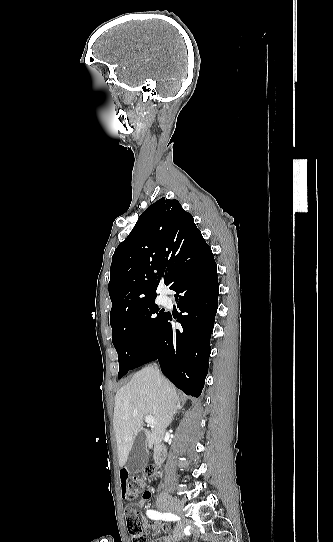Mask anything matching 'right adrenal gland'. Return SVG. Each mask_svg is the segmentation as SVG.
<instances>
[{"label": "right adrenal gland", "mask_w": 333, "mask_h": 542, "mask_svg": "<svg viewBox=\"0 0 333 542\" xmlns=\"http://www.w3.org/2000/svg\"><path fill=\"white\" fill-rule=\"evenodd\" d=\"M182 406L180 404V402H177V410H181Z\"/></svg>", "instance_id": "1"}]
</instances>
